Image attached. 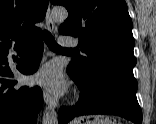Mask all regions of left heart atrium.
Masks as SVG:
<instances>
[{
    "mask_svg": "<svg viewBox=\"0 0 156 124\" xmlns=\"http://www.w3.org/2000/svg\"><path fill=\"white\" fill-rule=\"evenodd\" d=\"M34 81L44 86L54 95H61L66 92L68 84L60 67L56 63L44 65L34 77Z\"/></svg>",
    "mask_w": 156,
    "mask_h": 124,
    "instance_id": "1",
    "label": "left heart atrium"
}]
</instances>
